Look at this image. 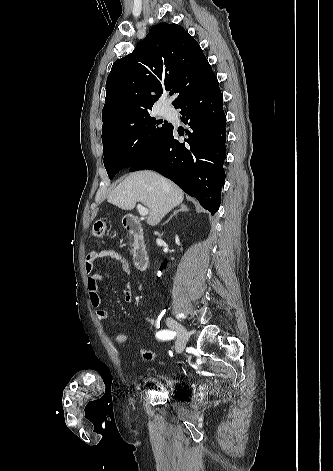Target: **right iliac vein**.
<instances>
[{
    "label": "right iliac vein",
    "instance_id": "1",
    "mask_svg": "<svg viewBox=\"0 0 333 471\" xmlns=\"http://www.w3.org/2000/svg\"><path fill=\"white\" fill-rule=\"evenodd\" d=\"M166 324L170 329L174 330L177 333L179 339L176 343V353H182L189 339V334L186 328L170 317L166 319Z\"/></svg>",
    "mask_w": 333,
    "mask_h": 471
}]
</instances>
